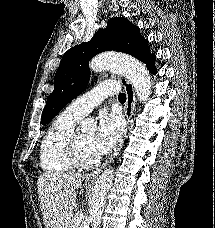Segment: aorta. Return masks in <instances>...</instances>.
I'll list each match as a JSON object with an SVG mask.
<instances>
[{"mask_svg":"<svg viewBox=\"0 0 215 228\" xmlns=\"http://www.w3.org/2000/svg\"><path fill=\"white\" fill-rule=\"evenodd\" d=\"M89 68L92 72H102V70H119V72H122L130 80L139 102H146L151 94L150 74L145 66L140 64L138 60H134V58H129V56L116 58L115 54H99L91 60ZM113 178L114 170L108 168L95 182L91 194V228H100L107 192L110 190Z\"/></svg>","mask_w":215,"mask_h":228,"instance_id":"1","label":"aorta"}]
</instances>
